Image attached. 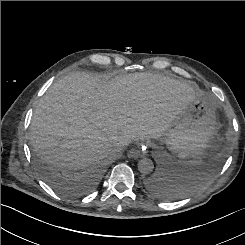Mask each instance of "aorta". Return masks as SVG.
I'll use <instances>...</instances> for the list:
<instances>
[{"label":"aorta","instance_id":"1","mask_svg":"<svg viewBox=\"0 0 245 245\" xmlns=\"http://www.w3.org/2000/svg\"><path fill=\"white\" fill-rule=\"evenodd\" d=\"M154 169V164L149 158H142L138 162V170L142 174H150Z\"/></svg>","mask_w":245,"mask_h":245}]
</instances>
